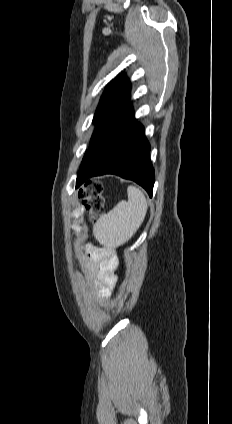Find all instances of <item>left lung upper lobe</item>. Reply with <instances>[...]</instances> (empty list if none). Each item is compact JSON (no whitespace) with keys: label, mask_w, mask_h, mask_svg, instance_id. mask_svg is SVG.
<instances>
[{"label":"left lung upper lobe","mask_w":232,"mask_h":424,"mask_svg":"<svg viewBox=\"0 0 232 424\" xmlns=\"http://www.w3.org/2000/svg\"><path fill=\"white\" fill-rule=\"evenodd\" d=\"M129 93V81L124 75L118 76L107 86L94 115L93 121L96 123V128L92 135V141L129 104ZM86 156L87 152L84 155L80 168L84 164Z\"/></svg>","instance_id":"left-lung-upper-lobe-1"}]
</instances>
